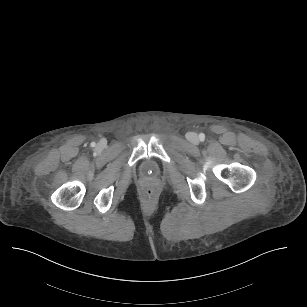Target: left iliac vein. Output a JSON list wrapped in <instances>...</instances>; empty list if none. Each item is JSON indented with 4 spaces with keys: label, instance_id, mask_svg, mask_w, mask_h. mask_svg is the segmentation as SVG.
I'll return each instance as SVG.
<instances>
[{
    "label": "left iliac vein",
    "instance_id": "1",
    "mask_svg": "<svg viewBox=\"0 0 307 307\" xmlns=\"http://www.w3.org/2000/svg\"><path fill=\"white\" fill-rule=\"evenodd\" d=\"M190 141L196 143L198 141V137L195 133H192Z\"/></svg>",
    "mask_w": 307,
    "mask_h": 307
}]
</instances>
